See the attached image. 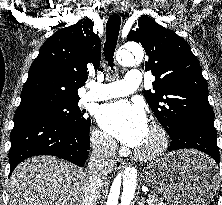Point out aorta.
I'll use <instances>...</instances> for the list:
<instances>
[{
	"mask_svg": "<svg viewBox=\"0 0 222 205\" xmlns=\"http://www.w3.org/2000/svg\"><path fill=\"white\" fill-rule=\"evenodd\" d=\"M144 56L143 49L138 44H128L121 50L118 62L124 67L135 66ZM138 171L134 166L127 167L123 173H119L114 179L106 205H130L138 185Z\"/></svg>",
	"mask_w": 222,
	"mask_h": 205,
	"instance_id": "1",
	"label": "aorta"
}]
</instances>
